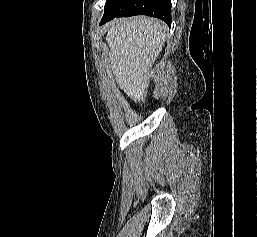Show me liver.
<instances>
[{"instance_id": "liver-1", "label": "liver", "mask_w": 257, "mask_h": 237, "mask_svg": "<svg viewBox=\"0 0 257 237\" xmlns=\"http://www.w3.org/2000/svg\"><path fill=\"white\" fill-rule=\"evenodd\" d=\"M116 82L135 102L145 103L148 72L162 51L166 26L157 19L137 16L116 19L106 24Z\"/></svg>"}]
</instances>
